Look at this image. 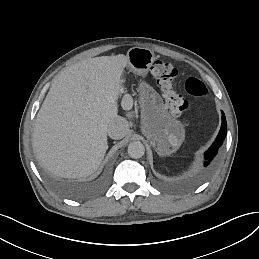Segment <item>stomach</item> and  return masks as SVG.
Here are the masks:
<instances>
[{"mask_svg":"<svg viewBox=\"0 0 259 259\" xmlns=\"http://www.w3.org/2000/svg\"><path fill=\"white\" fill-rule=\"evenodd\" d=\"M130 69L138 75L146 74L155 60L154 52L149 48L133 47L127 52Z\"/></svg>","mask_w":259,"mask_h":259,"instance_id":"0dacf381","label":"stomach"}]
</instances>
